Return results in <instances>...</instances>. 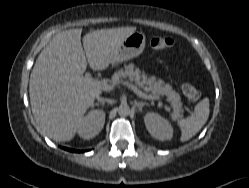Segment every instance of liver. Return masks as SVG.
<instances>
[{
  "mask_svg": "<svg viewBox=\"0 0 249 188\" xmlns=\"http://www.w3.org/2000/svg\"><path fill=\"white\" fill-rule=\"evenodd\" d=\"M136 27L98 29L86 34L82 29L57 34L42 50L33 67L29 95L34 118L49 138L56 142L74 138L81 119L101 90L84 82L87 62L93 70H105Z\"/></svg>",
  "mask_w": 249,
  "mask_h": 188,
  "instance_id": "6515ba94",
  "label": "liver"
}]
</instances>
